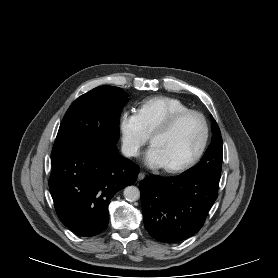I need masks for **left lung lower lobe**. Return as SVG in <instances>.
<instances>
[{"label":"left lung lower lobe","mask_w":278,"mask_h":278,"mask_svg":"<svg viewBox=\"0 0 278 278\" xmlns=\"http://www.w3.org/2000/svg\"><path fill=\"white\" fill-rule=\"evenodd\" d=\"M139 187L145 229L161 242L176 243L201 229L217 198L219 180L149 176Z\"/></svg>","instance_id":"obj_1"}]
</instances>
